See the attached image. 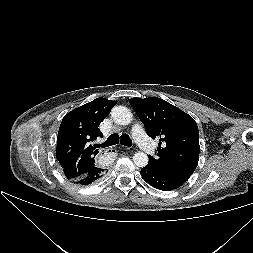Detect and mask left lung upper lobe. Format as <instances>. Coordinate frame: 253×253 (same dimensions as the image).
Returning a JSON list of instances; mask_svg holds the SVG:
<instances>
[{
    "instance_id": "left-lung-upper-lobe-1",
    "label": "left lung upper lobe",
    "mask_w": 253,
    "mask_h": 253,
    "mask_svg": "<svg viewBox=\"0 0 253 253\" xmlns=\"http://www.w3.org/2000/svg\"><path fill=\"white\" fill-rule=\"evenodd\" d=\"M130 103L152 139H159L157 156L149 162L164 173L185 182L199 160V131L194 119L167 101L149 97Z\"/></svg>"
}]
</instances>
